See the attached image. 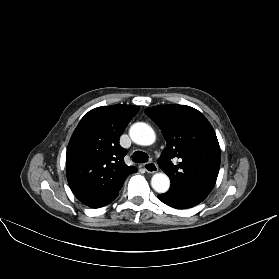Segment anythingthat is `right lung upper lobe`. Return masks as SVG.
Returning <instances> with one entry per match:
<instances>
[{"instance_id":"right-lung-upper-lobe-1","label":"right lung upper lobe","mask_w":279,"mask_h":279,"mask_svg":"<svg viewBox=\"0 0 279 279\" xmlns=\"http://www.w3.org/2000/svg\"><path fill=\"white\" fill-rule=\"evenodd\" d=\"M134 105L101 106L89 111L76 127L66 153V174L75 196L99 208L113 201L128 175L137 172L124 162L120 135L139 111Z\"/></svg>"}]
</instances>
